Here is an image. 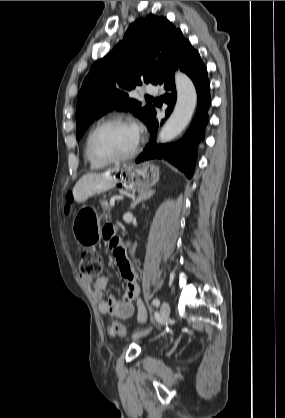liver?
<instances>
[{"instance_id":"obj_1","label":"liver","mask_w":285,"mask_h":418,"mask_svg":"<svg viewBox=\"0 0 285 418\" xmlns=\"http://www.w3.org/2000/svg\"><path fill=\"white\" fill-rule=\"evenodd\" d=\"M119 168L108 170L102 174L88 173L83 175L73 188V196L77 202H84L89 197L107 191L115 186L117 179L112 176L113 171Z\"/></svg>"}]
</instances>
